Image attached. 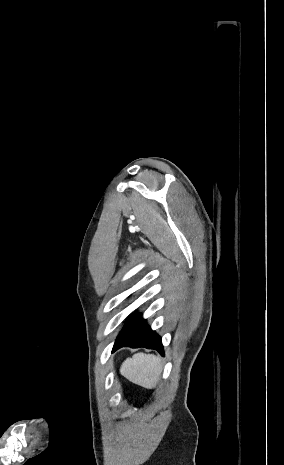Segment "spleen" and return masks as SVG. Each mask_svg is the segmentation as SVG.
<instances>
[{
    "instance_id": "1",
    "label": "spleen",
    "mask_w": 284,
    "mask_h": 465,
    "mask_svg": "<svg viewBox=\"0 0 284 465\" xmlns=\"http://www.w3.org/2000/svg\"><path fill=\"white\" fill-rule=\"evenodd\" d=\"M162 369L160 357L136 353L132 359H126L122 363L120 373L135 385L144 389H154L160 381Z\"/></svg>"
}]
</instances>
